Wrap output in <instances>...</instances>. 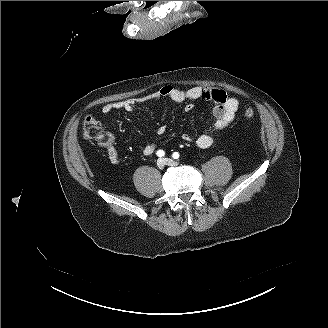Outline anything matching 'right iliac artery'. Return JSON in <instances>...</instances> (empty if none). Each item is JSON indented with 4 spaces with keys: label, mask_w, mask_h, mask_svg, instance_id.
<instances>
[{
    "label": "right iliac artery",
    "mask_w": 328,
    "mask_h": 328,
    "mask_svg": "<svg viewBox=\"0 0 328 328\" xmlns=\"http://www.w3.org/2000/svg\"><path fill=\"white\" fill-rule=\"evenodd\" d=\"M157 155H158L159 157H162V156L165 155V153H164L163 150H159V151H157Z\"/></svg>",
    "instance_id": "obj_1"
}]
</instances>
